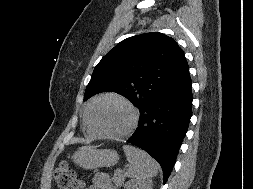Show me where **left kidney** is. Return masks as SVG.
<instances>
[{"label":"left kidney","mask_w":253,"mask_h":189,"mask_svg":"<svg viewBox=\"0 0 253 189\" xmlns=\"http://www.w3.org/2000/svg\"><path fill=\"white\" fill-rule=\"evenodd\" d=\"M124 189H152L151 180H130L124 185Z\"/></svg>","instance_id":"left-kidney-1"}]
</instances>
